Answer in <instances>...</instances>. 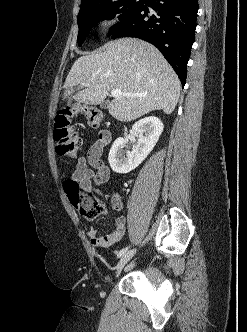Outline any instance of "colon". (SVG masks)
I'll return each instance as SVG.
<instances>
[{
  "instance_id": "colon-1",
  "label": "colon",
  "mask_w": 247,
  "mask_h": 332,
  "mask_svg": "<svg viewBox=\"0 0 247 332\" xmlns=\"http://www.w3.org/2000/svg\"><path fill=\"white\" fill-rule=\"evenodd\" d=\"M75 113L84 114L91 127H98L103 120V113L94 106L79 105L62 108L54 120V140L59 155L74 158L81 146V138L71 125V117ZM66 191L79 213L86 219L92 220L106 212L105 205L91 191H82L79 185L69 179L65 182Z\"/></svg>"
}]
</instances>
